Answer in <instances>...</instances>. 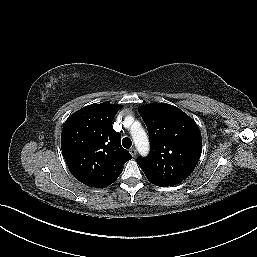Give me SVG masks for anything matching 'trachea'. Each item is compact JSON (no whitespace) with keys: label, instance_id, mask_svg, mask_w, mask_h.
Listing matches in <instances>:
<instances>
[{"label":"trachea","instance_id":"obj_1","mask_svg":"<svg viewBox=\"0 0 257 257\" xmlns=\"http://www.w3.org/2000/svg\"><path fill=\"white\" fill-rule=\"evenodd\" d=\"M122 145H123V147L126 148V149L130 148L131 145H132L131 139L125 137V138L122 140Z\"/></svg>","mask_w":257,"mask_h":257}]
</instances>
